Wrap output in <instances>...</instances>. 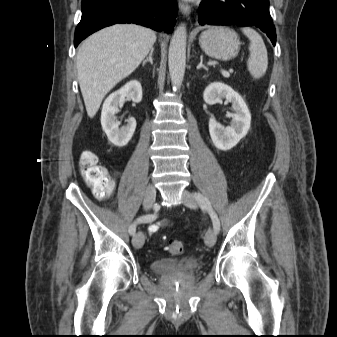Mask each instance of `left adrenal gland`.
<instances>
[{
  "label": "left adrenal gland",
  "mask_w": 337,
  "mask_h": 337,
  "mask_svg": "<svg viewBox=\"0 0 337 337\" xmlns=\"http://www.w3.org/2000/svg\"><path fill=\"white\" fill-rule=\"evenodd\" d=\"M201 68H203V69H205L206 71H208V68L203 64V57H202V56L200 57V63H199V65L197 66V69H201Z\"/></svg>",
  "instance_id": "left-adrenal-gland-1"
}]
</instances>
